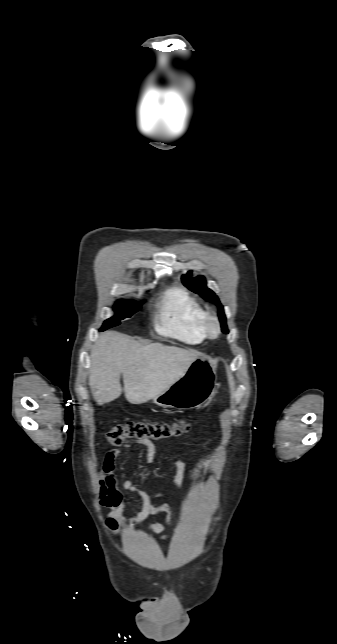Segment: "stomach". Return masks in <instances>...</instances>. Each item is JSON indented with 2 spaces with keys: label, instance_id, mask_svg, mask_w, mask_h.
Listing matches in <instances>:
<instances>
[{
  "label": "stomach",
  "instance_id": "1",
  "mask_svg": "<svg viewBox=\"0 0 337 644\" xmlns=\"http://www.w3.org/2000/svg\"><path fill=\"white\" fill-rule=\"evenodd\" d=\"M215 369L205 355L197 357L186 373L167 390L153 398V402L165 408L188 410L203 405L215 389Z\"/></svg>",
  "mask_w": 337,
  "mask_h": 644
}]
</instances>
